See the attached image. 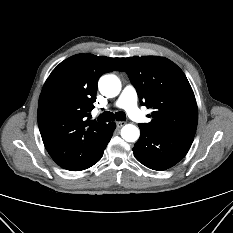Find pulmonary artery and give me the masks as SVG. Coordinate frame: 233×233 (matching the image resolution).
Listing matches in <instances>:
<instances>
[{
	"label": "pulmonary artery",
	"instance_id": "e3ab8cb5",
	"mask_svg": "<svg viewBox=\"0 0 233 233\" xmlns=\"http://www.w3.org/2000/svg\"><path fill=\"white\" fill-rule=\"evenodd\" d=\"M115 106L124 109L127 114L134 120L147 122V117L140 112L137 106V92L132 85H126L119 95Z\"/></svg>",
	"mask_w": 233,
	"mask_h": 233
}]
</instances>
